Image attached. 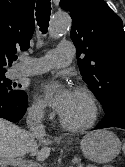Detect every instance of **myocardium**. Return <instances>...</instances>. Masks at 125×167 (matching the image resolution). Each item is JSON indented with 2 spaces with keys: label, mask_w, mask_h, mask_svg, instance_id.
<instances>
[{
  "label": "myocardium",
  "mask_w": 125,
  "mask_h": 167,
  "mask_svg": "<svg viewBox=\"0 0 125 167\" xmlns=\"http://www.w3.org/2000/svg\"><path fill=\"white\" fill-rule=\"evenodd\" d=\"M75 91L84 95L87 98V100L89 101V103L91 105V109H92L91 117L86 123H84L82 125H74V124L67 122L63 118V116L60 115V124L62 125L63 128H65L67 130H70L73 132H81V131H85V130L91 128L95 124V122L98 118V114H99V106H98V102H97L95 95L87 87L77 86L75 88Z\"/></svg>",
  "instance_id": "myocardium-1"
}]
</instances>
